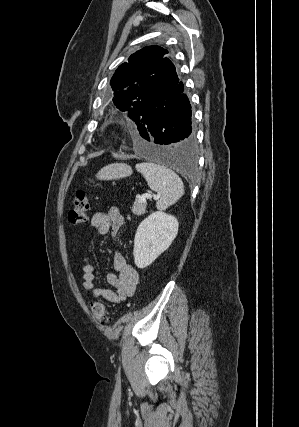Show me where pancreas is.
I'll return each mask as SVG.
<instances>
[{"label":"pancreas","mask_w":299,"mask_h":427,"mask_svg":"<svg viewBox=\"0 0 299 427\" xmlns=\"http://www.w3.org/2000/svg\"><path fill=\"white\" fill-rule=\"evenodd\" d=\"M146 202H142L140 199H137L132 207V212L135 215H142L146 212Z\"/></svg>","instance_id":"1"}]
</instances>
